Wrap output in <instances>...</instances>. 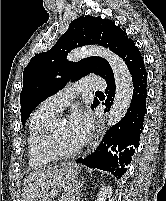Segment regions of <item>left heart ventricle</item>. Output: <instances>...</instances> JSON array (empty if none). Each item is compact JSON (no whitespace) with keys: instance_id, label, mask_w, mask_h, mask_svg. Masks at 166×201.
Wrapping results in <instances>:
<instances>
[{"instance_id":"left-heart-ventricle-1","label":"left heart ventricle","mask_w":166,"mask_h":201,"mask_svg":"<svg viewBox=\"0 0 166 201\" xmlns=\"http://www.w3.org/2000/svg\"><path fill=\"white\" fill-rule=\"evenodd\" d=\"M55 142L57 147L63 151H71L80 146L76 134L66 120L61 121L57 125L55 130Z\"/></svg>"}]
</instances>
